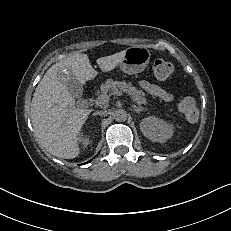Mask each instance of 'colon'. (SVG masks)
Returning a JSON list of instances; mask_svg holds the SVG:
<instances>
[{"mask_svg": "<svg viewBox=\"0 0 231 231\" xmlns=\"http://www.w3.org/2000/svg\"><path fill=\"white\" fill-rule=\"evenodd\" d=\"M152 71L154 76L162 81L170 79L175 73V67L169 61L164 59H156L152 62ZM180 113L189 121H194L198 118L199 110L194 98L184 97L179 105Z\"/></svg>", "mask_w": 231, "mask_h": 231, "instance_id": "colon-1", "label": "colon"}]
</instances>
